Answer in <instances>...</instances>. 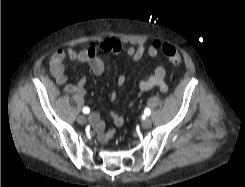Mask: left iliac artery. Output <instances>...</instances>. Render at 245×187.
<instances>
[{"label": "left iliac artery", "mask_w": 245, "mask_h": 187, "mask_svg": "<svg viewBox=\"0 0 245 187\" xmlns=\"http://www.w3.org/2000/svg\"><path fill=\"white\" fill-rule=\"evenodd\" d=\"M144 113H145V115H150V113H151V111H150V109L149 108H146L145 110H144Z\"/></svg>", "instance_id": "left-iliac-artery-1"}]
</instances>
